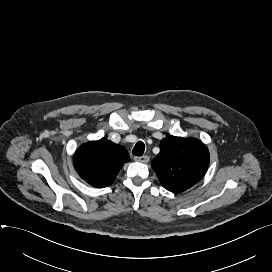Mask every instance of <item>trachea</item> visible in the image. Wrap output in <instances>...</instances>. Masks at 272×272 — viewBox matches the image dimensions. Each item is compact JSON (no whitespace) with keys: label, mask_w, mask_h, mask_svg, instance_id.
I'll return each mask as SVG.
<instances>
[{"label":"trachea","mask_w":272,"mask_h":272,"mask_svg":"<svg viewBox=\"0 0 272 272\" xmlns=\"http://www.w3.org/2000/svg\"><path fill=\"white\" fill-rule=\"evenodd\" d=\"M145 151V145L142 141H138L132 150V154L135 156H142Z\"/></svg>","instance_id":"3493384b"}]
</instances>
